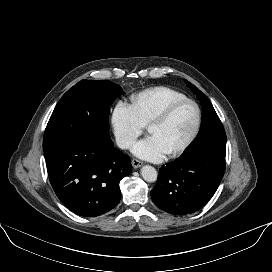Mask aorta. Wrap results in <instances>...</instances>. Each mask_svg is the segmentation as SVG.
I'll use <instances>...</instances> for the list:
<instances>
[{"label":"aorta","instance_id":"obj_1","mask_svg":"<svg viewBox=\"0 0 272 272\" xmlns=\"http://www.w3.org/2000/svg\"><path fill=\"white\" fill-rule=\"evenodd\" d=\"M141 175L146 182H155L157 180L158 173L154 167L145 165L141 169Z\"/></svg>","mask_w":272,"mask_h":272}]
</instances>
